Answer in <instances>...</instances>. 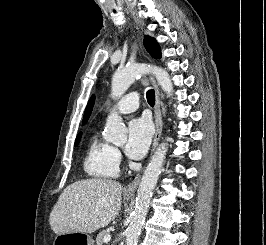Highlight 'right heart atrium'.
<instances>
[{"label":"right heart atrium","instance_id":"1","mask_svg":"<svg viewBox=\"0 0 266 245\" xmlns=\"http://www.w3.org/2000/svg\"><path fill=\"white\" fill-rule=\"evenodd\" d=\"M114 154L118 162L121 160V154L118 149H114Z\"/></svg>","mask_w":266,"mask_h":245}]
</instances>
